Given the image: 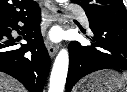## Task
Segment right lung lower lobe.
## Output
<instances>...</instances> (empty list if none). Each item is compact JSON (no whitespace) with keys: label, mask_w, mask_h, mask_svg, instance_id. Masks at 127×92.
I'll use <instances>...</instances> for the list:
<instances>
[{"label":"right lung lower lobe","mask_w":127,"mask_h":92,"mask_svg":"<svg viewBox=\"0 0 127 92\" xmlns=\"http://www.w3.org/2000/svg\"><path fill=\"white\" fill-rule=\"evenodd\" d=\"M40 19L37 6L23 17L0 24V71L15 77L30 92L43 91L50 70L48 51L40 33ZM19 21L25 24L23 29L18 25ZM12 30L22 34L27 44L16 47L20 39L12 37Z\"/></svg>","instance_id":"right-lung-lower-lobe-1"}]
</instances>
